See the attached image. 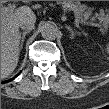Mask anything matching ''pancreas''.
<instances>
[{"mask_svg":"<svg viewBox=\"0 0 109 109\" xmlns=\"http://www.w3.org/2000/svg\"><path fill=\"white\" fill-rule=\"evenodd\" d=\"M57 4H60L64 11H73L76 18L83 24L88 23V19L91 21L98 19L99 23H91V25L99 27L103 33L108 31L109 17L104 13H95L94 16H92L93 9L87 7L85 4H82L79 1H58Z\"/></svg>","mask_w":109,"mask_h":109,"instance_id":"obj_1","label":"pancreas"}]
</instances>
